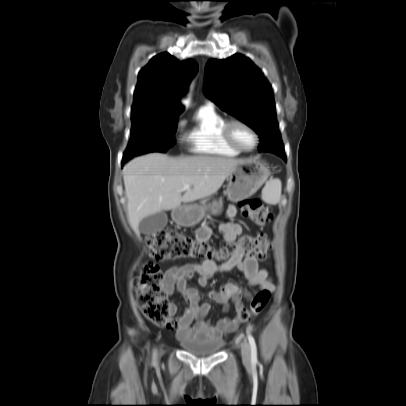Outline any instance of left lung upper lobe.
<instances>
[{"instance_id": "1", "label": "left lung upper lobe", "mask_w": 406, "mask_h": 406, "mask_svg": "<svg viewBox=\"0 0 406 406\" xmlns=\"http://www.w3.org/2000/svg\"><path fill=\"white\" fill-rule=\"evenodd\" d=\"M204 94L260 136L259 151L285 155L276 119L273 90L263 73L243 55L210 59Z\"/></svg>"}]
</instances>
